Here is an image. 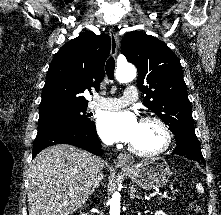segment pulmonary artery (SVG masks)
Instances as JSON below:
<instances>
[{
  "label": "pulmonary artery",
  "mask_w": 221,
  "mask_h": 215,
  "mask_svg": "<svg viewBox=\"0 0 221 215\" xmlns=\"http://www.w3.org/2000/svg\"><path fill=\"white\" fill-rule=\"evenodd\" d=\"M137 89L134 86H128L122 97L119 98H105L96 97L91 103L92 109H118L124 107L137 100Z\"/></svg>",
  "instance_id": "obj_1"
}]
</instances>
